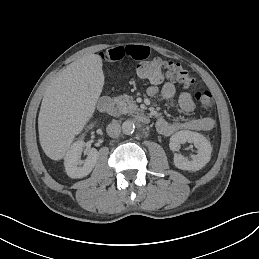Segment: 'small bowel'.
Returning a JSON list of instances; mask_svg holds the SVG:
<instances>
[{"label": "small bowel", "instance_id": "obj_1", "mask_svg": "<svg viewBox=\"0 0 259 259\" xmlns=\"http://www.w3.org/2000/svg\"><path fill=\"white\" fill-rule=\"evenodd\" d=\"M150 50L147 46L141 45H119L106 49L100 53V58L104 62H114L123 58H130L133 60H143L149 56ZM147 93L150 96L160 94L165 101L171 103L176 94V88L173 82L168 81L161 87L156 84L151 85ZM178 103L183 112L192 114L195 111L196 105L191 93L182 92L179 95ZM215 125L212 117H193L189 116L182 119L167 120L160 118L156 122L158 132L165 136H170L182 130L194 131H209Z\"/></svg>", "mask_w": 259, "mask_h": 259}]
</instances>
